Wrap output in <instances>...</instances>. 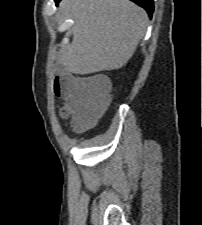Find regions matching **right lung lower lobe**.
<instances>
[{
    "mask_svg": "<svg viewBox=\"0 0 202 225\" xmlns=\"http://www.w3.org/2000/svg\"><path fill=\"white\" fill-rule=\"evenodd\" d=\"M56 3H58L60 0H55ZM138 4L139 6L143 7L149 14V16H152L153 13V0H131Z\"/></svg>",
    "mask_w": 202,
    "mask_h": 225,
    "instance_id": "1",
    "label": "right lung lower lobe"
}]
</instances>
